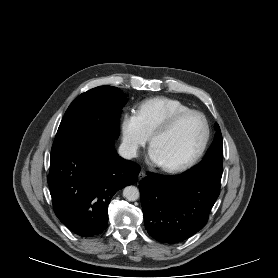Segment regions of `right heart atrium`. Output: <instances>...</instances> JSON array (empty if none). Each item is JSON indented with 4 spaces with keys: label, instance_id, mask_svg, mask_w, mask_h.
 <instances>
[{
    "label": "right heart atrium",
    "instance_id": "1",
    "mask_svg": "<svg viewBox=\"0 0 278 278\" xmlns=\"http://www.w3.org/2000/svg\"><path fill=\"white\" fill-rule=\"evenodd\" d=\"M121 145L124 152L135 157L149 140L150 134L135 111L124 112L120 117Z\"/></svg>",
    "mask_w": 278,
    "mask_h": 278
}]
</instances>
